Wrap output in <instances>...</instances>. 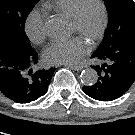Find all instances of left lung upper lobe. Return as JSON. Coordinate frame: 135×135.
<instances>
[{
  "label": "left lung upper lobe",
  "instance_id": "left-lung-upper-lobe-1",
  "mask_svg": "<svg viewBox=\"0 0 135 135\" xmlns=\"http://www.w3.org/2000/svg\"><path fill=\"white\" fill-rule=\"evenodd\" d=\"M109 15V26L96 52L135 40V3L133 0H104Z\"/></svg>",
  "mask_w": 135,
  "mask_h": 135
}]
</instances>
